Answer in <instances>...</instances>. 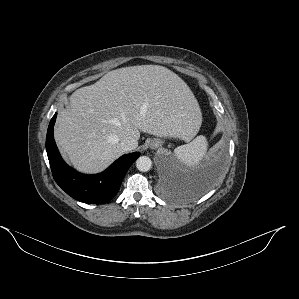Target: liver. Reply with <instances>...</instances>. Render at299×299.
Here are the masks:
<instances>
[{"mask_svg":"<svg viewBox=\"0 0 299 299\" xmlns=\"http://www.w3.org/2000/svg\"><path fill=\"white\" fill-rule=\"evenodd\" d=\"M202 116L188 85L159 65L116 69L70 96L58 113L54 137L69 162L84 173L104 170L124 151L125 137L140 132L190 141Z\"/></svg>","mask_w":299,"mask_h":299,"instance_id":"6515ba94","label":"liver"}]
</instances>
